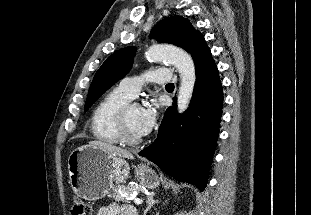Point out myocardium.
Returning a JSON list of instances; mask_svg holds the SVG:
<instances>
[{
  "instance_id": "1",
  "label": "myocardium",
  "mask_w": 311,
  "mask_h": 215,
  "mask_svg": "<svg viewBox=\"0 0 311 215\" xmlns=\"http://www.w3.org/2000/svg\"><path fill=\"white\" fill-rule=\"evenodd\" d=\"M133 107H140V104L135 101H129L119 109L116 116L119 138L121 142L128 145H138L143 141L142 138L133 137L127 127L126 116L128 111Z\"/></svg>"
}]
</instances>
